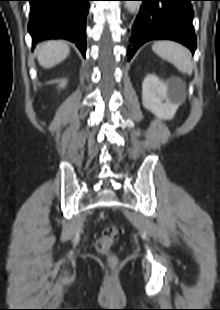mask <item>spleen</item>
I'll return each instance as SVG.
<instances>
[{"mask_svg": "<svg viewBox=\"0 0 220 310\" xmlns=\"http://www.w3.org/2000/svg\"><path fill=\"white\" fill-rule=\"evenodd\" d=\"M153 51L162 59L169 61L181 72L192 74V63L189 51L173 41H158L152 47Z\"/></svg>", "mask_w": 220, "mask_h": 310, "instance_id": "obj_1", "label": "spleen"}]
</instances>
